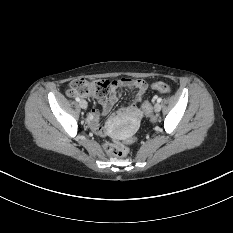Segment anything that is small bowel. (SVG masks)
<instances>
[{"mask_svg":"<svg viewBox=\"0 0 233 233\" xmlns=\"http://www.w3.org/2000/svg\"><path fill=\"white\" fill-rule=\"evenodd\" d=\"M123 88L135 91V99L131 105L122 108L120 113L128 115L129 118L133 122H135L142 115V111L139 108V104L142 102L144 93L147 90V83L142 79H131L127 77H122L120 79L112 81L110 84L108 97L100 99V104L102 106V114L105 115L111 111L114 104L119 99L120 90ZM100 114L101 113L98 109H91L88 115V121L96 131L103 132V129L99 124Z\"/></svg>","mask_w":233,"mask_h":233,"instance_id":"small-bowel-1","label":"small bowel"}]
</instances>
